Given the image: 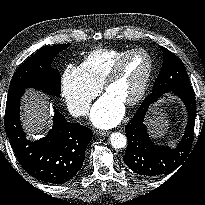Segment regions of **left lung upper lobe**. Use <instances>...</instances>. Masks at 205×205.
<instances>
[{"label": "left lung upper lobe", "mask_w": 205, "mask_h": 205, "mask_svg": "<svg viewBox=\"0 0 205 205\" xmlns=\"http://www.w3.org/2000/svg\"><path fill=\"white\" fill-rule=\"evenodd\" d=\"M160 48L164 52V62L154 83L153 91L147 97L150 102H155L163 94L175 89L191 87L182 61L168 49L162 46Z\"/></svg>", "instance_id": "left-lung-upper-lobe-1"}]
</instances>
